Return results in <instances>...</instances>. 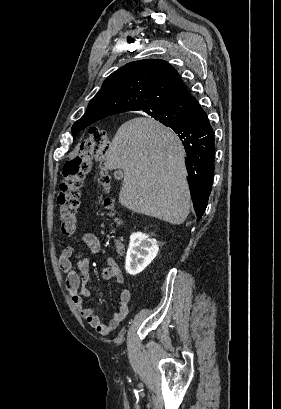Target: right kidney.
<instances>
[{
    "label": "right kidney",
    "mask_w": 281,
    "mask_h": 409,
    "mask_svg": "<svg viewBox=\"0 0 281 409\" xmlns=\"http://www.w3.org/2000/svg\"><path fill=\"white\" fill-rule=\"evenodd\" d=\"M159 251L156 239H149L145 233H132L126 253L125 269L129 275L144 271Z\"/></svg>",
    "instance_id": "right-kidney-1"
}]
</instances>
